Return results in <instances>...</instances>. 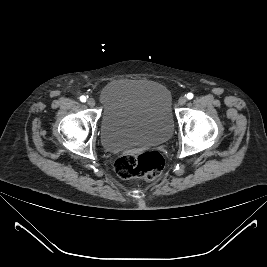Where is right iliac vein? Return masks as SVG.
<instances>
[{
    "mask_svg": "<svg viewBox=\"0 0 267 267\" xmlns=\"http://www.w3.org/2000/svg\"><path fill=\"white\" fill-rule=\"evenodd\" d=\"M87 104L90 106V107H94L95 106V100L93 98H88L87 99Z\"/></svg>",
    "mask_w": 267,
    "mask_h": 267,
    "instance_id": "right-iliac-vein-1",
    "label": "right iliac vein"
}]
</instances>
